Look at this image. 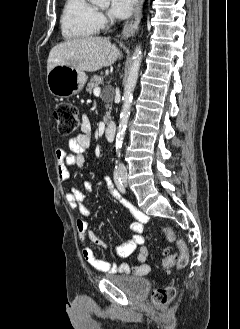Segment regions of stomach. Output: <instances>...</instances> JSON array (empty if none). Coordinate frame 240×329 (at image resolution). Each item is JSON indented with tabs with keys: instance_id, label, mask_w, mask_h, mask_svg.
Here are the masks:
<instances>
[{
	"instance_id": "stomach-1",
	"label": "stomach",
	"mask_w": 240,
	"mask_h": 329,
	"mask_svg": "<svg viewBox=\"0 0 240 329\" xmlns=\"http://www.w3.org/2000/svg\"><path fill=\"white\" fill-rule=\"evenodd\" d=\"M84 71L67 65H57L47 73L50 93L59 98H67L81 91L86 83Z\"/></svg>"
}]
</instances>
